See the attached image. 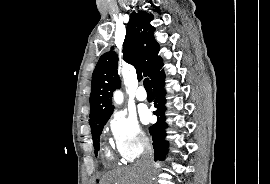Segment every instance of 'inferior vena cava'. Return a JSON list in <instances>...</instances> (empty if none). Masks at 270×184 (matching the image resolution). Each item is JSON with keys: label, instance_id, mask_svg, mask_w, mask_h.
Masks as SVG:
<instances>
[{"label": "inferior vena cava", "instance_id": "inferior-vena-cava-1", "mask_svg": "<svg viewBox=\"0 0 270 184\" xmlns=\"http://www.w3.org/2000/svg\"><path fill=\"white\" fill-rule=\"evenodd\" d=\"M137 167L150 172L153 169V148L149 140H143V153L137 162Z\"/></svg>", "mask_w": 270, "mask_h": 184}]
</instances>
